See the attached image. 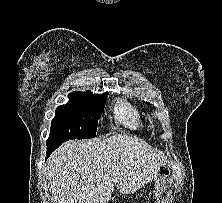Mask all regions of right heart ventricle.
I'll use <instances>...</instances> for the list:
<instances>
[{
    "mask_svg": "<svg viewBox=\"0 0 222 203\" xmlns=\"http://www.w3.org/2000/svg\"><path fill=\"white\" fill-rule=\"evenodd\" d=\"M115 118L130 129L140 127V114L124 102H119L114 107Z\"/></svg>",
    "mask_w": 222,
    "mask_h": 203,
    "instance_id": "e07e8e85",
    "label": "right heart ventricle"
}]
</instances>
